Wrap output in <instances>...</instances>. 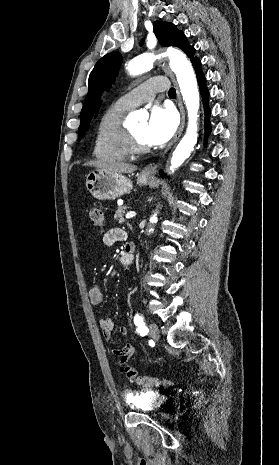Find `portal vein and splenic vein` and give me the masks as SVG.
Returning <instances> with one entry per match:
<instances>
[{
  "label": "portal vein and splenic vein",
  "mask_w": 279,
  "mask_h": 465,
  "mask_svg": "<svg viewBox=\"0 0 279 465\" xmlns=\"http://www.w3.org/2000/svg\"><path fill=\"white\" fill-rule=\"evenodd\" d=\"M135 216H136V213L133 211H130L126 214V219H131V218H134Z\"/></svg>",
  "instance_id": "1"
}]
</instances>
